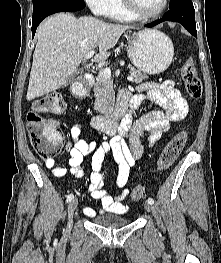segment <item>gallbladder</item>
I'll list each match as a JSON object with an SVG mask.
<instances>
[{"instance_id": "obj_1", "label": "gallbladder", "mask_w": 221, "mask_h": 263, "mask_svg": "<svg viewBox=\"0 0 221 263\" xmlns=\"http://www.w3.org/2000/svg\"><path fill=\"white\" fill-rule=\"evenodd\" d=\"M82 71L81 70H77V72L75 74H73L68 81L64 84V86H66L68 83H70L71 81H73L79 74H81Z\"/></svg>"}]
</instances>
